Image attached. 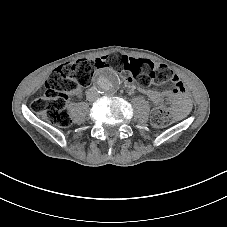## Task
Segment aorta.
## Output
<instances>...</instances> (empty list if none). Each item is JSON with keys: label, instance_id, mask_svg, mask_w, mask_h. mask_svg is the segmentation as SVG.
I'll use <instances>...</instances> for the list:
<instances>
[{"label": "aorta", "instance_id": "762f6f07", "mask_svg": "<svg viewBox=\"0 0 227 227\" xmlns=\"http://www.w3.org/2000/svg\"><path fill=\"white\" fill-rule=\"evenodd\" d=\"M95 83L101 93L109 95L117 91L120 79L112 69H103L95 77Z\"/></svg>", "mask_w": 227, "mask_h": 227}]
</instances>
